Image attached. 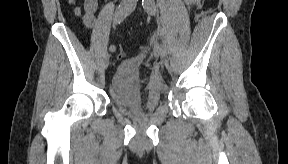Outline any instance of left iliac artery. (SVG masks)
I'll list each match as a JSON object with an SVG mask.
<instances>
[{
	"label": "left iliac artery",
	"mask_w": 288,
	"mask_h": 164,
	"mask_svg": "<svg viewBox=\"0 0 288 164\" xmlns=\"http://www.w3.org/2000/svg\"><path fill=\"white\" fill-rule=\"evenodd\" d=\"M142 6L148 14H150L152 16H156V6H155L154 0H142ZM160 36H161V31H160V29H157L156 37H157V40L159 41L160 49L163 50L164 44L161 42Z\"/></svg>",
	"instance_id": "44dca946"
}]
</instances>
